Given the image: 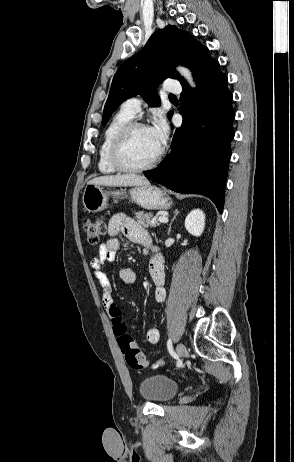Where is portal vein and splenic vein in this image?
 I'll list each match as a JSON object with an SVG mask.
<instances>
[{
	"instance_id": "obj_1",
	"label": "portal vein and splenic vein",
	"mask_w": 294,
	"mask_h": 462,
	"mask_svg": "<svg viewBox=\"0 0 294 462\" xmlns=\"http://www.w3.org/2000/svg\"><path fill=\"white\" fill-rule=\"evenodd\" d=\"M160 223H167L168 222V218L165 217V216H162V217H159L157 219ZM156 220H153L152 222L154 223Z\"/></svg>"
}]
</instances>
